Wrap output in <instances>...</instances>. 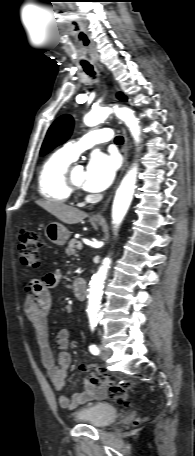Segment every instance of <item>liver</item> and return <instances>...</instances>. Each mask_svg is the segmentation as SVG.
Listing matches in <instances>:
<instances>
[{"label": "liver", "instance_id": "liver-1", "mask_svg": "<svg viewBox=\"0 0 195 456\" xmlns=\"http://www.w3.org/2000/svg\"><path fill=\"white\" fill-rule=\"evenodd\" d=\"M36 204L66 224H77L88 216L84 211L57 201L38 200Z\"/></svg>", "mask_w": 195, "mask_h": 456}]
</instances>
